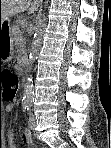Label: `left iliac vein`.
Masks as SVG:
<instances>
[{"label": "left iliac vein", "mask_w": 111, "mask_h": 148, "mask_svg": "<svg viewBox=\"0 0 111 148\" xmlns=\"http://www.w3.org/2000/svg\"><path fill=\"white\" fill-rule=\"evenodd\" d=\"M28 125H29L30 129H34L35 125H36L35 116H34V114L32 112L29 113Z\"/></svg>", "instance_id": "1"}]
</instances>
